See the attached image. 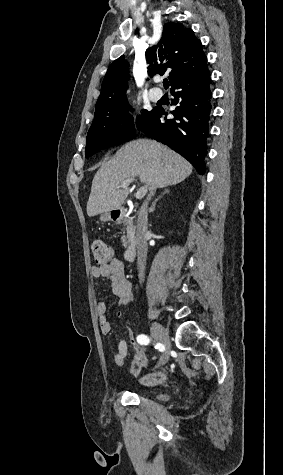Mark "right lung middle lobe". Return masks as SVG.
Returning <instances> with one entry per match:
<instances>
[{
	"mask_svg": "<svg viewBox=\"0 0 283 475\" xmlns=\"http://www.w3.org/2000/svg\"><path fill=\"white\" fill-rule=\"evenodd\" d=\"M131 108L127 103L95 108L93 123L86 139V158L96 152L130 141L135 136L134 120L128 112ZM154 114L152 111L142 110L137 116L136 126L141 130Z\"/></svg>",
	"mask_w": 283,
	"mask_h": 475,
	"instance_id": "obj_1",
	"label": "right lung middle lobe"
}]
</instances>
